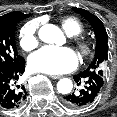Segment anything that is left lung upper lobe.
Instances as JSON below:
<instances>
[{
  "instance_id": "left-lung-upper-lobe-1",
  "label": "left lung upper lobe",
  "mask_w": 117,
  "mask_h": 117,
  "mask_svg": "<svg viewBox=\"0 0 117 117\" xmlns=\"http://www.w3.org/2000/svg\"><path fill=\"white\" fill-rule=\"evenodd\" d=\"M73 10L83 17H85L88 22L91 24L92 28L95 32L96 37V48H95V57L93 62L86 69L87 71H94L97 74L104 77L105 66L108 60V43H107V32L104 28L103 23L100 21L98 17L91 14L90 12L80 9L73 8Z\"/></svg>"
}]
</instances>
